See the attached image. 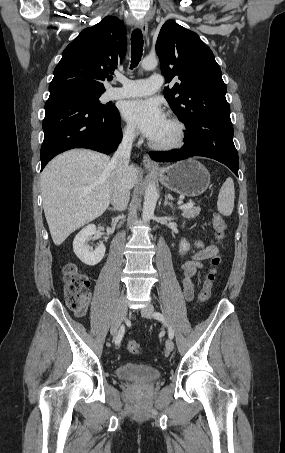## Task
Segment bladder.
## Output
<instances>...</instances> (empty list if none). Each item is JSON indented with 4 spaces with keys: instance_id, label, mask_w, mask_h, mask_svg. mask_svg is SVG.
<instances>
[{
    "instance_id": "1",
    "label": "bladder",
    "mask_w": 285,
    "mask_h": 453,
    "mask_svg": "<svg viewBox=\"0 0 285 453\" xmlns=\"http://www.w3.org/2000/svg\"><path fill=\"white\" fill-rule=\"evenodd\" d=\"M115 373L119 379L135 383H150L160 377L158 369L137 363L122 364L116 368Z\"/></svg>"
}]
</instances>
